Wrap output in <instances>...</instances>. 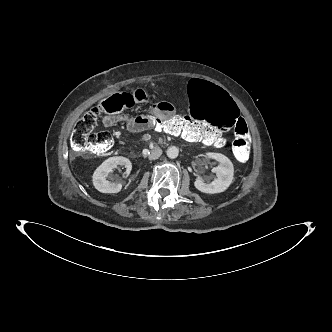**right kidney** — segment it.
<instances>
[{"label": "right kidney", "mask_w": 332, "mask_h": 332, "mask_svg": "<svg viewBox=\"0 0 332 332\" xmlns=\"http://www.w3.org/2000/svg\"><path fill=\"white\" fill-rule=\"evenodd\" d=\"M118 165L126 168V177L129 176L132 164L129 159L122 156H114L105 160L94 171L92 176L94 187L101 193H118L121 191L122 185L120 183H114L107 179L108 174L113 171Z\"/></svg>", "instance_id": "right-kidney-1"}]
</instances>
